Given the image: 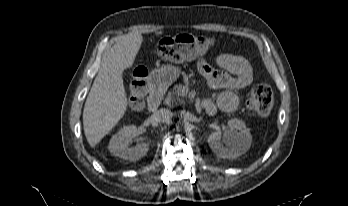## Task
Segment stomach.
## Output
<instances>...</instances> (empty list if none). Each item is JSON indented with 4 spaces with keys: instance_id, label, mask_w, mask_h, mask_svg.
<instances>
[{
    "instance_id": "0dacf381",
    "label": "stomach",
    "mask_w": 348,
    "mask_h": 206,
    "mask_svg": "<svg viewBox=\"0 0 348 206\" xmlns=\"http://www.w3.org/2000/svg\"><path fill=\"white\" fill-rule=\"evenodd\" d=\"M182 48L186 51L185 56L192 60L204 55L212 44V40L207 37H196L192 34L182 36ZM180 71L177 67L167 64L151 73V80L159 87H168L179 77Z\"/></svg>"
}]
</instances>
